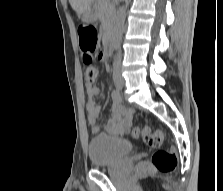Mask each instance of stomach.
Returning a JSON list of instances; mask_svg holds the SVG:
<instances>
[{"label":"stomach","mask_w":223,"mask_h":191,"mask_svg":"<svg viewBox=\"0 0 223 191\" xmlns=\"http://www.w3.org/2000/svg\"><path fill=\"white\" fill-rule=\"evenodd\" d=\"M94 18H95V15L91 8H87L82 14V20L84 22H92Z\"/></svg>","instance_id":"obj_1"}]
</instances>
